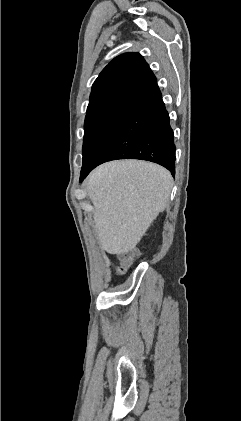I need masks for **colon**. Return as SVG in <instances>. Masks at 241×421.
<instances>
[{
	"mask_svg": "<svg viewBox=\"0 0 241 421\" xmlns=\"http://www.w3.org/2000/svg\"><path fill=\"white\" fill-rule=\"evenodd\" d=\"M139 1V0H135ZM135 252L133 250H127L119 254V263L116 267L118 274H123L131 265L134 260Z\"/></svg>",
	"mask_w": 241,
	"mask_h": 421,
	"instance_id": "colon-1",
	"label": "colon"
}]
</instances>
